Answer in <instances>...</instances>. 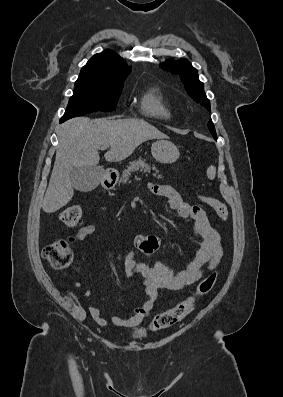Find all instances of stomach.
<instances>
[{
	"label": "stomach",
	"instance_id": "0dacf381",
	"mask_svg": "<svg viewBox=\"0 0 283 397\" xmlns=\"http://www.w3.org/2000/svg\"><path fill=\"white\" fill-rule=\"evenodd\" d=\"M151 153L153 157L161 163L171 164L179 158V149L174 143L168 140H158L152 144ZM102 176L107 178L108 174L103 173Z\"/></svg>",
	"mask_w": 283,
	"mask_h": 397
}]
</instances>
